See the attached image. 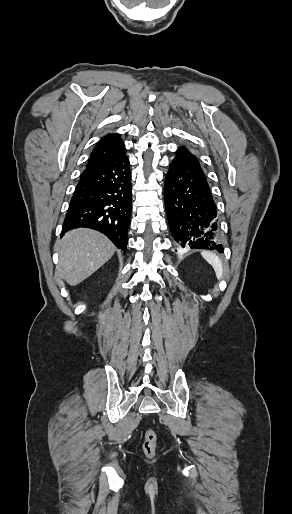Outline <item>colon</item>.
<instances>
[{"instance_id":"colon-1","label":"colon","mask_w":292,"mask_h":514,"mask_svg":"<svg viewBox=\"0 0 292 514\" xmlns=\"http://www.w3.org/2000/svg\"><path fill=\"white\" fill-rule=\"evenodd\" d=\"M157 435L153 428H148L145 431L144 440L142 443V451L148 458H152L156 452Z\"/></svg>"}]
</instances>
